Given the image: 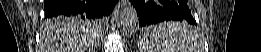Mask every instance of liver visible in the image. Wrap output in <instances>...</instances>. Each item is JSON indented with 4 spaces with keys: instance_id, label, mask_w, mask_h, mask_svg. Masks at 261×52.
<instances>
[{
    "instance_id": "obj_1",
    "label": "liver",
    "mask_w": 261,
    "mask_h": 52,
    "mask_svg": "<svg viewBox=\"0 0 261 52\" xmlns=\"http://www.w3.org/2000/svg\"><path fill=\"white\" fill-rule=\"evenodd\" d=\"M40 41L43 52H93L96 46L94 29L86 22L45 21Z\"/></svg>"
}]
</instances>
